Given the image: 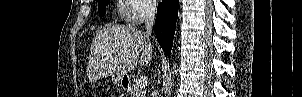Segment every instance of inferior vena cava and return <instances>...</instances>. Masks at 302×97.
Returning a JSON list of instances; mask_svg holds the SVG:
<instances>
[{"mask_svg":"<svg viewBox=\"0 0 302 97\" xmlns=\"http://www.w3.org/2000/svg\"><path fill=\"white\" fill-rule=\"evenodd\" d=\"M157 3L156 0H147L145 5V24H146V32L151 33L155 15H156Z\"/></svg>","mask_w":302,"mask_h":97,"instance_id":"1","label":"inferior vena cava"}]
</instances>
